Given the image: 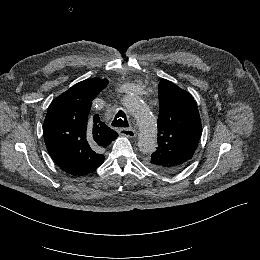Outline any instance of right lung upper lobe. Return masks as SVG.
Wrapping results in <instances>:
<instances>
[{
    "instance_id": "cb5924a9",
    "label": "right lung upper lobe",
    "mask_w": 260,
    "mask_h": 260,
    "mask_svg": "<svg viewBox=\"0 0 260 260\" xmlns=\"http://www.w3.org/2000/svg\"><path fill=\"white\" fill-rule=\"evenodd\" d=\"M107 84L106 79L81 81L48 108L45 144L52 159L69 174L86 175L97 169L104 162V148L118 136L97 114L89 115L92 100Z\"/></svg>"
}]
</instances>
